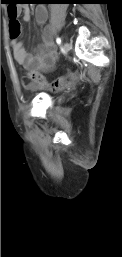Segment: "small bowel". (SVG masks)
Segmentation results:
<instances>
[{"mask_svg": "<svg viewBox=\"0 0 122 257\" xmlns=\"http://www.w3.org/2000/svg\"><path fill=\"white\" fill-rule=\"evenodd\" d=\"M9 13V10H7ZM21 13L26 22H30L32 14L27 6L18 7L17 14ZM37 25L42 26L48 18V11L45 6H37L33 13ZM42 44L34 51L28 52L22 41L18 38L11 39V48L18 64L33 72H46L51 70L56 62V51L53 45L51 32L45 28L42 32Z\"/></svg>", "mask_w": 122, "mask_h": 257, "instance_id": "1", "label": "small bowel"}]
</instances>
